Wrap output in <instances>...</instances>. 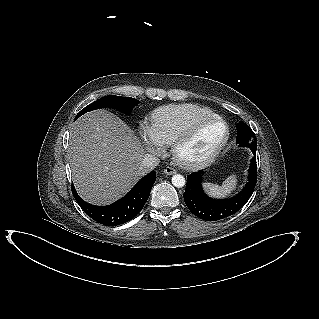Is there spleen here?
<instances>
[{
	"label": "spleen",
	"instance_id": "1",
	"mask_svg": "<svg viewBox=\"0 0 319 319\" xmlns=\"http://www.w3.org/2000/svg\"><path fill=\"white\" fill-rule=\"evenodd\" d=\"M203 186L209 195L216 198H224L229 196L236 189L237 176L236 174H232L222 183L221 186L213 183H205Z\"/></svg>",
	"mask_w": 319,
	"mask_h": 319
}]
</instances>
